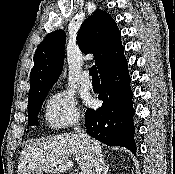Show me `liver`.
I'll use <instances>...</instances> for the list:
<instances>
[{
	"label": "liver",
	"mask_w": 175,
	"mask_h": 174,
	"mask_svg": "<svg viewBox=\"0 0 175 174\" xmlns=\"http://www.w3.org/2000/svg\"><path fill=\"white\" fill-rule=\"evenodd\" d=\"M91 140L101 152V143ZM71 157H75L82 173L88 174L91 162L85 143L74 133L54 135L23 149L17 173H64L73 166Z\"/></svg>",
	"instance_id": "6515ba94"
}]
</instances>
